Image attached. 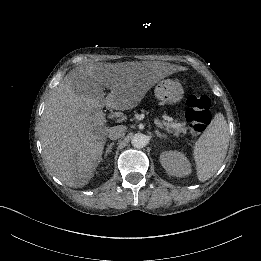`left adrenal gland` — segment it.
<instances>
[{
	"label": "left adrenal gland",
	"instance_id": "1",
	"mask_svg": "<svg viewBox=\"0 0 261 261\" xmlns=\"http://www.w3.org/2000/svg\"><path fill=\"white\" fill-rule=\"evenodd\" d=\"M156 134H157V136H158L159 139H166V135L160 133L158 129L156 130Z\"/></svg>",
	"mask_w": 261,
	"mask_h": 261
}]
</instances>
